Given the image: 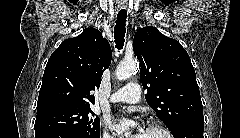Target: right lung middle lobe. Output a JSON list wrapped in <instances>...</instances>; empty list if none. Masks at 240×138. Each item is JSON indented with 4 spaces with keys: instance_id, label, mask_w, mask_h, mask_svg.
Returning <instances> with one entry per match:
<instances>
[{
    "instance_id": "1",
    "label": "right lung middle lobe",
    "mask_w": 240,
    "mask_h": 138,
    "mask_svg": "<svg viewBox=\"0 0 240 138\" xmlns=\"http://www.w3.org/2000/svg\"><path fill=\"white\" fill-rule=\"evenodd\" d=\"M88 108H64L38 114L35 131L62 129L82 138H99L100 120Z\"/></svg>"
}]
</instances>
